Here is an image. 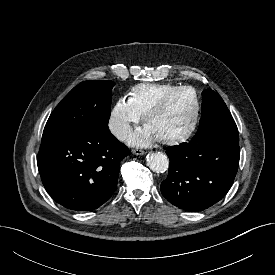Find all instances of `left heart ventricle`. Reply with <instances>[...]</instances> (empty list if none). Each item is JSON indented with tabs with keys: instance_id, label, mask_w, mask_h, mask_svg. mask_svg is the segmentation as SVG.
Here are the masks:
<instances>
[{
	"instance_id": "left-heart-ventricle-1",
	"label": "left heart ventricle",
	"mask_w": 275,
	"mask_h": 275,
	"mask_svg": "<svg viewBox=\"0 0 275 275\" xmlns=\"http://www.w3.org/2000/svg\"><path fill=\"white\" fill-rule=\"evenodd\" d=\"M195 108L191 91H182L174 95L166 107L152 117L147 125L158 139L179 135L188 127Z\"/></svg>"
}]
</instances>
